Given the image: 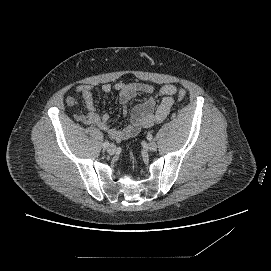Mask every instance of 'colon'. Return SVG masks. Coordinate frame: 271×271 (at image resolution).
I'll list each match as a JSON object with an SVG mask.
<instances>
[{
  "instance_id": "1",
  "label": "colon",
  "mask_w": 271,
  "mask_h": 271,
  "mask_svg": "<svg viewBox=\"0 0 271 271\" xmlns=\"http://www.w3.org/2000/svg\"><path fill=\"white\" fill-rule=\"evenodd\" d=\"M175 97H176V99H178V100L184 99V98L186 97V91L183 90V89H180V90L176 93Z\"/></svg>"
}]
</instances>
